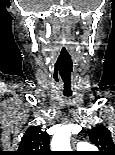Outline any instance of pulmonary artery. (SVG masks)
Returning <instances> with one entry per match:
<instances>
[{
	"mask_svg": "<svg viewBox=\"0 0 115 155\" xmlns=\"http://www.w3.org/2000/svg\"><path fill=\"white\" fill-rule=\"evenodd\" d=\"M77 148L80 150H87V149H91L92 146L86 142H78L77 143Z\"/></svg>",
	"mask_w": 115,
	"mask_h": 155,
	"instance_id": "1",
	"label": "pulmonary artery"
}]
</instances>
